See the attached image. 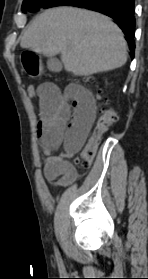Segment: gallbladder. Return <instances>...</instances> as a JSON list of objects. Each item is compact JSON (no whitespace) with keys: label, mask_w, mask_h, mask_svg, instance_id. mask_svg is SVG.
<instances>
[{"label":"gallbladder","mask_w":148,"mask_h":279,"mask_svg":"<svg viewBox=\"0 0 148 279\" xmlns=\"http://www.w3.org/2000/svg\"><path fill=\"white\" fill-rule=\"evenodd\" d=\"M47 67L52 72H60L62 70L61 62L55 57H50L47 60Z\"/></svg>","instance_id":"1"}]
</instances>
